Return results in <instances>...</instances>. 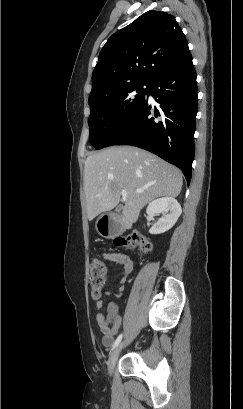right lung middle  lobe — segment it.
Returning <instances> with one entry per match:
<instances>
[{"label": "right lung middle lobe", "mask_w": 243, "mask_h": 409, "mask_svg": "<svg viewBox=\"0 0 243 409\" xmlns=\"http://www.w3.org/2000/svg\"><path fill=\"white\" fill-rule=\"evenodd\" d=\"M151 84L133 83L90 103L88 118L89 140L98 150L107 147L111 139L145 101Z\"/></svg>", "instance_id": "1"}]
</instances>
